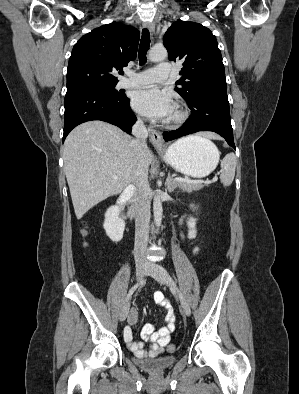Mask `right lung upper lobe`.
<instances>
[{
  "mask_svg": "<svg viewBox=\"0 0 299 394\" xmlns=\"http://www.w3.org/2000/svg\"><path fill=\"white\" fill-rule=\"evenodd\" d=\"M139 31L118 22L103 25L82 36L68 63L67 90L90 83L118 82L112 74L137 55Z\"/></svg>",
  "mask_w": 299,
  "mask_h": 394,
  "instance_id": "right-lung-upper-lobe-1",
  "label": "right lung upper lobe"
}]
</instances>
